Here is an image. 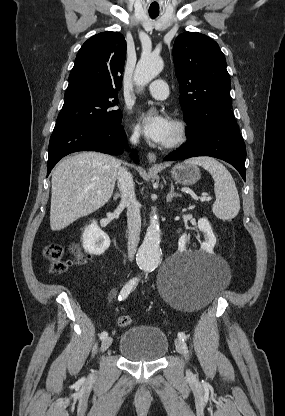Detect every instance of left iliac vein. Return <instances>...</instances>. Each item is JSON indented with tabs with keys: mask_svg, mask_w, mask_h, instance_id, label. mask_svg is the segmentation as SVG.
Returning a JSON list of instances; mask_svg holds the SVG:
<instances>
[{
	"mask_svg": "<svg viewBox=\"0 0 285 416\" xmlns=\"http://www.w3.org/2000/svg\"><path fill=\"white\" fill-rule=\"evenodd\" d=\"M175 346H176L177 351L183 354L185 358H187L188 350H187L186 343L181 339H176Z\"/></svg>",
	"mask_w": 285,
	"mask_h": 416,
	"instance_id": "obj_1",
	"label": "left iliac vein"
}]
</instances>
